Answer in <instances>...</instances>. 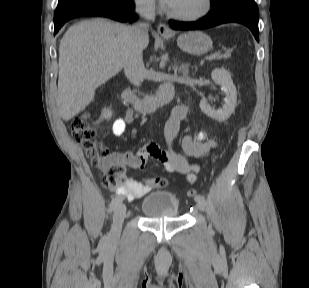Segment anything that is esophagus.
I'll return each instance as SVG.
<instances>
[{"label": "esophagus", "mask_w": 309, "mask_h": 288, "mask_svg": "<svg viewBox=\"0 0 309 288\" xmlns=\"http://www.w3.org/2000/svg\"><path fill=\"white\" fill-rule=\"evenodd\" d=\"M158 33L162 36H167V35H171L172 31L170 30L167 24L162 22L158 26Z\"/></svg>", "instance_id": "esophagus-1"}]
</instances>
